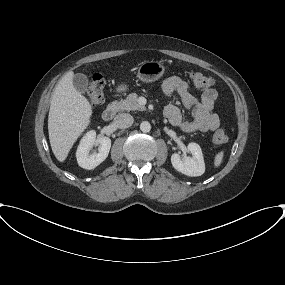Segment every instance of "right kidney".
<instances>
[{"instance_id": "obj_1", "label": "right kidney", "mask_w": 285, "mask_h": 285, "mask_svg": "<svg viewBox=\"0 0 285 285\" xmlns=\"http://www.w3.org/2000/svg\"><path fill=\"white\" fill-rule=\"evenodd\" d=\"M99 144L98 152L90 153L92 147ZM111 148V139L108 137L96 138V132L91 130L82 138L77 152V162L80 167L92 170L100 165L108 156Z\"/></svg>"}]
</instances>
